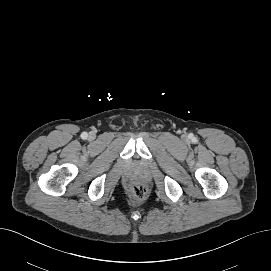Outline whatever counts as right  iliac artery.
Segmentation results:
<instances>
[{"label":"right iliac artery","mask_w":271,"mask_h":271,"mask_svg":"<svg viewBox=\"0 0 271 271\" xmlns=\"http://www.w3.org/2000/svg\"><path fill=\"white\" fill-rule=\"evenodd\" d=\"M81 137H82L83 139H86V138L88 137V134H87L86 132H83V133L81 134Z\"/></svg>","instance_id":"1"}]
</instances>
